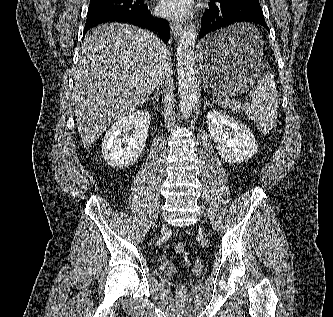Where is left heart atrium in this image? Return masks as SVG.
<instances>
[{"mask_svg": "<svg viewBox=\"0 0 333 317\" xmlns=\"http://www.w3.org/2000/svg\"><path fill=\"white\" fill-rule=\"evenodd\" d=\"M190 9V0H161L157 6L160 15L173 19L186 17Z\"/></svg>", "mask_w": 333, "mask_h": 317, "instance_id": "left-heart-atrium-1", "label": "left heart atrium"}]
</instances>
